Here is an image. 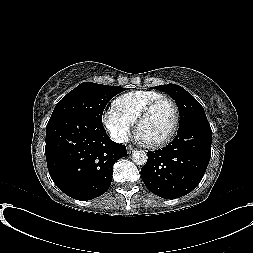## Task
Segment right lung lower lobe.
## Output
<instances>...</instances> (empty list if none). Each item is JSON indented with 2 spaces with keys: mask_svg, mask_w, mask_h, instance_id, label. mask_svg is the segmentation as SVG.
Instances as JSON below:
<instances>
[{
  "mask_svg": "<svg viewBox=\"0 0 253 253\" xmlns=\"http://www.w3.org/2000/svg\"><path fill=\"white\" fill-rule=\"evenodd\" d=\"M45 154L55 185L72 198L90 200L109 189L113 165L127 152L109 138L102 123L67 114L50 118Z\"/></svg>",
  "mask_w": 253,
  "mask_h": 253,
  "instance_id": "obj_1",
  "label": "right lung lower lobe"
}]
</instances>
